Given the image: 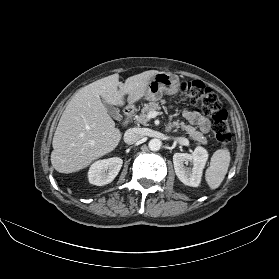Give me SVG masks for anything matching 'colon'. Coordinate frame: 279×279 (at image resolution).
<instances>
[{"label": "colon", "mask_w": 279, "mask_h": 279, "mask_svg": "<svg viewBox=\"0 0 279 279\" xmlns=\"http://www.w3.org/2000/svg\"><path fill=\"white\" fill-rule=\"evenodd\" d=\"M181 98L194 106H199L203 115L213 120V134L217 142L228 145L232 134L228 122L227 111L223 108L219 97L201 81L185 82L180 89Z\"/></svg>", "instance_id": "obj_1"}]
</instances>
